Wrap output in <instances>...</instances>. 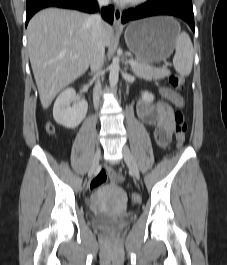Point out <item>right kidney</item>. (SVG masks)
<instances>
[{
  "label": "right kidney",
  "instance_id": "1",
  "mask_svg": "<svg viewBox=\"0 0 227 265\" xmlns=\"http://www.w3.org/2000/svg\"><path fill=\"white\" fill-rule=\"evenodd\" d=\"M75 95L73 88H67L60 93L54 103L53 117L58 124L66 128L77 127L85 118L88 110L85 100L79 101L74 107L70 106Z\"/></svg>",
  "mask_w": 227,
  "mask_h": 265
}]
</instances>
